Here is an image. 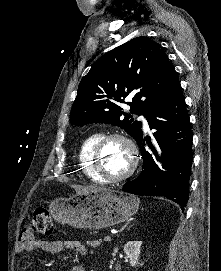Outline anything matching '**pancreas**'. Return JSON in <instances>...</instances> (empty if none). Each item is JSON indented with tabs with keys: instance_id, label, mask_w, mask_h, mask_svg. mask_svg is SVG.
Segmentation results:
<instances>
[{
	"instance_id": "obj_1",
	"label": "pancreas",
	"mask_w": 221,
	"mask_h": 271,
	"mask_svg": "<svg viewBox=\"0 0 221 271\" xmlns=\"http://www.w3.org/2000/svg\"><path fill=\"white\" fill-rule=\"evenodd\" d=\"M86 242L88 244V247H101L103 240L102 239H89Z\"/></svg>"
}]
</instances>
